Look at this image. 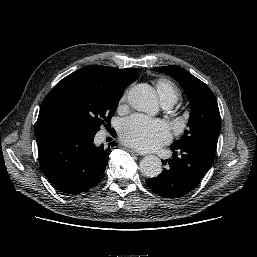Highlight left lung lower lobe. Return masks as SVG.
I'll return each mask as SVG.
<instances>
[{
    "label": "left lung lower lobe",
    "mask_w": 257,
    "mask_h": 257,
    "mask_svg": "<svg viewBox=\"0 0 257 257\" xmlns=\"http://www.w3.org/2000/svg\"><path fill=\"white\" fill-rule=\"evenodd\" d=\"M172 159L162 161V173L146 180L150 189L164 198H180L199 184L212 165L215 150L199 145L171 146Z\"/></svg>",
    "instance_id": "left-lung-lower-lobe-1"
}]
</instances>
